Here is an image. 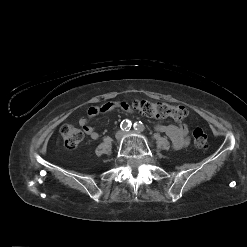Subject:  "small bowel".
<instances>
[{
	"mask_svg": "<svg viewBox=\"0 0 247 247\" xmlns=\"http://www.w3.org/2000/svg\"><path fill=\"white\" fill-rule=\"evenodd\" d=\"M115 108H119L128 113L133 112V109L130 107V105H128L125 102H108L102 106L90 107L87 111V116L82 117L79 120V124L82 127L85 134L93 140L98 139L99 134L97 133L95 128L89 124L90 119L97 116L100 113L108 112ZM156 130L158 132L166 134L170 138L174 148L176 149L184 148L189 143L188 127L185 124H179V125L159 124L156 126Z\"/></svg>",
	"mask_w": 247,
	"mask_h": 247,
	"instance_id": "1",
	"label": "small bowel"
}]
</instances>
